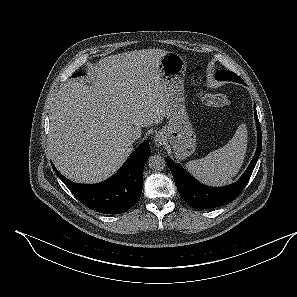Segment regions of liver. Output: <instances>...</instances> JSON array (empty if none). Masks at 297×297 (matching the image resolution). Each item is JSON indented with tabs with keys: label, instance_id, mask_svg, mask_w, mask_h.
<instances>
[{
	"label": "liver",
	"instance_id": "obj_1",
	"mask_svg": "<svg viewBox=\"0 0 297 297\" xmlns=\"http://www.w3.org/2000/svg\"><path fill=\"white\" fill-rule=\"evenodd\" d=\"M166 53L111 55L93 67L91 86L64 84L51 109L48 145L60 173L77 183L102 182L132 153L127 132L162 122L167 105L159 63Z\"/></svg>",
	"mask_w": 297,
	"mask_h": 297
}]
</instances>
